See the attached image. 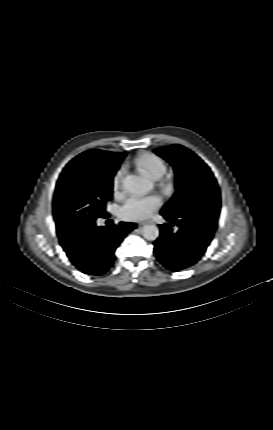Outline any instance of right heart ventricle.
I'll list each match as a JSON object with an SVG mask.
<instances>
[{
    "label": "right heart ventricle",
    "mask_w": 273,
    "mask_h": 430,
    "mask_svg": "<svg viewBox=\"0 0 273 430\" xmlns=\"http://www.w3.org/2000/svg\"><path fill=\"white\" fill-rule=\"evenodd\" d=\"M133 163L140 171L153 179L161 178L167 170L164 160L151 152H144L138 155L133 160Z\"/></svg>",
    "instance_id": "1"
}]
</instances>
